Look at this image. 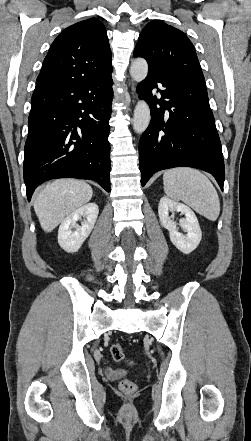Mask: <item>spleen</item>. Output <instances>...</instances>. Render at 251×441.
<instances>
[{"mask_svg":"<svg viewBox=\"0 0 251 441\" xmlns=\"http://www.w3.org/2000/svg\"><path fill=\"white\" fill-rule=\"evenodd\" d=\"M165 194L183 201L210 221L220 214L217 191L211 181L200 171L187 167L173 168L163 175Z\"/></svg>","mask_w":251,"mask_h":441,"instance_id":"obj_1","label":"spleen"}]
</instances>
